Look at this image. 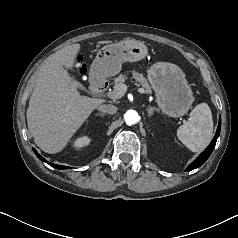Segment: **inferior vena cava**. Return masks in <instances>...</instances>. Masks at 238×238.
I'll return each instance as SVG.
<instances>
[{
	"label": "inferior vena cava",
	"instance_id": "inferior-vena-cava-1",
	"mask_svg": "<svg viewBox=\"0 0 238 238\" xmlns=\"http://www.w3.org/2000/svg\"><path fill=\"white\" fill-rule=\"evenodd\" d=\"M98 110L102 113L114 114L117 111V108L111 104H103L98 107Z\"/></svg>",
	"mask_w": 238,
	"mask_h": 238
}]
</instances>
